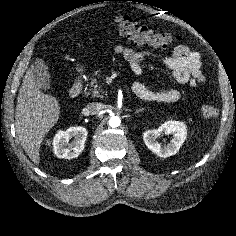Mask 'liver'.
<instances>
[{"mask_svg": "<svg viewBox=\"0 0 236 236\" xmlns=\"http://www.w3.org/2000/svg\"><path fill=\"white\" fill-rule=\"evenodd\" d=\"M59 115L57 99L39 90L32 71L28 69L17 97L15 125L22 148L37 165L43 138L57 123Z\"/></svg>", "mask_w": 236, "mask_h": 236, "instance_id": "liver-1", "label": "liver"}]
</instances>
